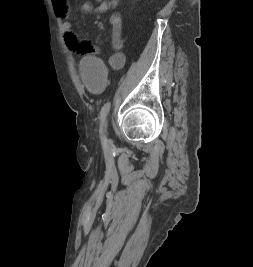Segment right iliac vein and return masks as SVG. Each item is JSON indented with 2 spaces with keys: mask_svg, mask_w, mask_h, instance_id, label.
I'll return each instance as SVG.
<instances>
[{
  "mask_svg": "<svg viewBox=\"0 0 253 267\" xmlns=\"http://www.w3.org/2000/svg\"><path fill=\"white\" fill-rule=\"evenodd\" d=\"M104 130H106V122H105V124H104Z\"/></svg>",
  "mask_w": 253,
  "mask_h": 267,
  "instance_id": "63e3f726",
  "label": "right iliac vein"
}]
</instances>
